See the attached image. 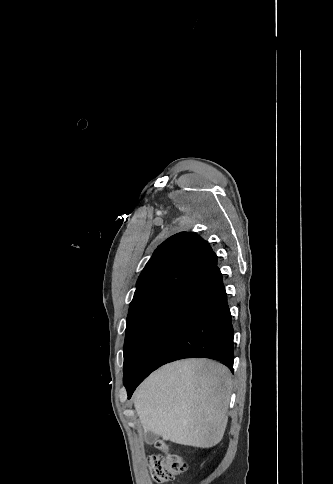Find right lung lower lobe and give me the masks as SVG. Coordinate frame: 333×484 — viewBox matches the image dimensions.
Here are the masks:
<instances>
[{
  "mask_svg": "<svg viewBox=\"0 0 333 484\" xmlns=\"http://www.w3.org/2000/svg\"><path fill=\"white\" fill-rule=\"evenodd\" d=\"M233 336L222 275L214 265L167 295L153 313L125 385L128 398L152 371L176 359L210 358L233 372Z\"/></svg>",
  "mask_w": 333,
  "mask_h": 484,
  "instance_id": "right-lung-lower-lobe-1",
  "label": "right lung lower lobe"
}]
</instances>
